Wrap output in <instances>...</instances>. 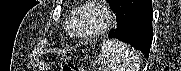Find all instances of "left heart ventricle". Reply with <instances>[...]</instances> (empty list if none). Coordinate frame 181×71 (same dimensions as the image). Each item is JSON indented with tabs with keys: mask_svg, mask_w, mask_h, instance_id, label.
<instances>
[{
	"mask_svg": "<svg viewBox=\"0 0 181 71\" xmlns=\"http://www.w3.org/2000/svg\"><path fill=\"white\" fill-rule=\"evenodd\" d=\"M104 18L99 11L94 8L85 9L79 19V31L90 33L98 29L103 24Z\"/></svg>",
	"mask_w": 181,
	"mask_h": 71,
	"instance_id": "1",
	"label": "left heart ventricle"
}]
</instances>
